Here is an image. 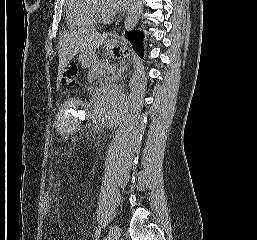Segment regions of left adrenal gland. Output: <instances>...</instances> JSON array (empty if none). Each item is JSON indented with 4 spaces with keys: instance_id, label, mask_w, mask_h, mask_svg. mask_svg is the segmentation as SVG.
Masks as SVG:
<instances>
[{
    "instance_id": "1",
    "label": "left adrenal gland",
    "mask_w": 257,
    "mask_h": 240,
    "mask_svg": "<svg viewBox=\"0 0 257 240\" xmlns=\"http://www.w3.org/2000/svg\"><path fill=\"white\" fill-rule=\"evenodd\" d=\"M126 67H127V65H125V64L123 66H120V68L116 71V73L113 74L112 79L113 80L119 79L122 76V74L124 73Z\"/></svg>"
}]
</instances>
